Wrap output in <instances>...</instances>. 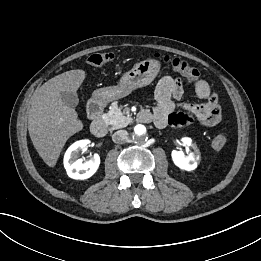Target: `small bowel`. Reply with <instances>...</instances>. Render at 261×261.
I'll use <instances>...</instances> for the list:
<instances>
[{
	"mask_svg": "<svg viewBox=\"0 0 261 261\" xmlns=\"http://www.w3.org/2000/svg\"><path fill=\"white\" fill-rule=\"evenodd\" d=\"M194 91L200 103H183L184 94L181 79L171 76L163 77L155 90L156 105L152 111L147 112L158 128H164L168 124L182 125L194 121L212 127L221 121V110L218 98L212 92L210 85L203 79L194 80ZM181 108L184 112L178 111Z\"/></svg>",
	"mask_w": 261,
	"mask_h": 261,
	"instance_id": "small-bowel-1",
	"label": "small bowel"
}]
</instances>
